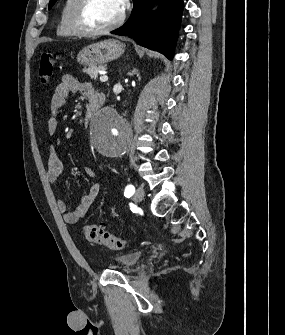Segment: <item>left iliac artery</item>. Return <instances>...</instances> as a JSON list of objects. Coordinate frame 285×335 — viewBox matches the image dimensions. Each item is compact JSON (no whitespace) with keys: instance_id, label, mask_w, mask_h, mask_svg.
Instances as JSON below:
<instances>
[{"instance_id":"obj_1","label":"left iliac artery","mask_w":285,"mask_h":335,"mask_svg":"<svg viewBox=\"0 0 285 335\" xmlns=\"http://www.w3.org/2000/svg\"><path fill=\"white\" fill-rule=\"evenodd\" d=\"M135 192V188L133 185H128L126 188H125V191H124V196L125 197H130L131 195H133Z\"/></svg>"}]
</instances>
